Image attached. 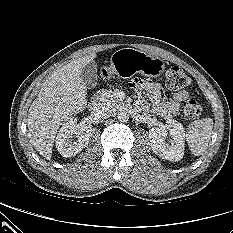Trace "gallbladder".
Segmentation results:
<instances>
[{
  "label": "gallbladder",
  "instance_id": "obj_1",
  "mask_svg": "<svg viewBox=\"0 0 233 233\" xmlns=\"http://www.w3.org/2000/svg\"><path fill=\"white\" fill-rule=\"evenodd\" d=\"M97 68V63L91 61L82 69L81 77L88 88H94L97 85Z\"/></svg>",
  "mask_w": 233,
  "mask_h": 233
}]
</instances>
